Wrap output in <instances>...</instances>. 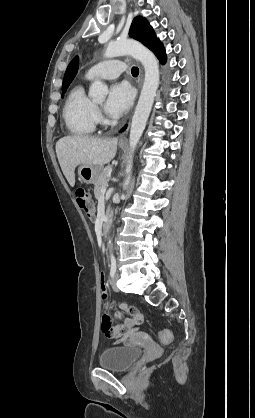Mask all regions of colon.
I'll return each instance as SVG.
<instances>
[{
  "instance_id": "colon-1",
  "label": "colon",
  "mask_w": 255,
  "mask_h": 418,
  "mask_svg": "<svg viewBox=\"0 0 255 418\" xmlns=\"http://www.w3.org/2000/svg\"><path fill=\"white\" fill-rule=\"evenodd\" d=\"M75 198L78 206L85 213L90 221L94 220V208L89 194L84 188H78L75 192ZM158 338L161 342L167 344L172 340L171 332L164 330L159 333Z\"/></svg>"
}]
</instances>
